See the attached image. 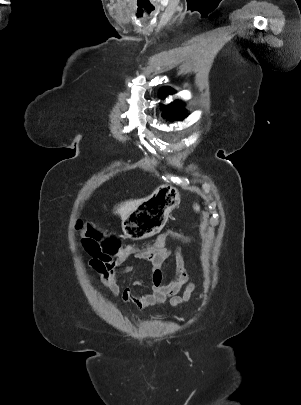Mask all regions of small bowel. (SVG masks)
Segmentation results:
<instances>
[{"instance_id":"obj_1","label":"small bowel","mask_w":301,"mask_h":405,"mask_svg":"<svg viewBox=\"0 0 301 405\" xmlns=\"http://www.w3.org/2000/svg\"><path fill=\"white\" fill-rule=\"evenodd\" d=\"M168 237L170 236L163 235L161 238L157 237L155 240L156 249L147 248L134 252L131 247H125L110 264H105L102 260L90 255L89 264L100 274L102 285L114 296L120 295L124 303L133 302L139 309H145L160 305L169 299L172 306L179 307L190 299L195 289V282L186 267L182 249L177 248L175 251V276L169 283H163L162 266L172 253V249L166 245ZM132 255L139 260L147 262L151 269V287L142 293H136L130 287L121 291L118 282L116 269L122 266ZM129 270L130 267L125 268V271ZM183 286H185V289L182 294H179Z\"/></svg>"}]
</instances>
